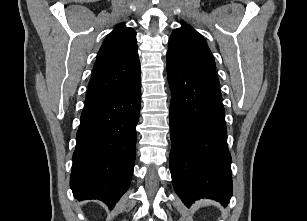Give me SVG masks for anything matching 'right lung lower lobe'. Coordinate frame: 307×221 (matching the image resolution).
<instances>
[{
    "label": "right lung lower lobe",
    "instance_id": "right-lung-lower-lobe-1",
    "mask_svg": "<svg viewBox=\"0 0 307 221\" xmlns=\"http://www.w3.org/2000/svg\"><path fill=\"white\" fill-rule=\"evenodd\" d=\"M140 105V79L127 89L86 102L70 176L77 200L98 199L112 209L128 189Z\"/></svg>",
    "mask_w": 307,
    "mask_h": 221
}]
</instances>
